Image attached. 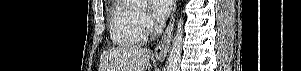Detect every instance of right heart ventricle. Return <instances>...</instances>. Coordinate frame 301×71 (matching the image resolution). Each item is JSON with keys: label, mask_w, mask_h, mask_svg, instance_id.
Here are the masks:
<instances>
[{"label": "right heart ventricle", "mask_w": 301, "mask_h": 71, "mask_svg": "<svg viewBox=\"0 0 301 71\" xmlns=\"http://www.w3.org/2000/svg\"><path fill=\"white\" fill-rule=\"evenodd\" d=\"M109 30L113 42L120 46L141 45L148 39L139 10L128 0H119L113 6Z\"/></svg>", "instance_id": "e07e8e85"}]
</instances>
